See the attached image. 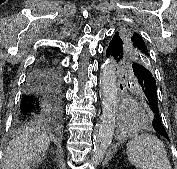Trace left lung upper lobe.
<instances>
[{
	"label": "left lung upper lobe",
	"instance_id": "5c2ea615",
	"mask_svg": "<svg viewBox=\"0 0 177 169\" xmlns=\"http://www.w3.org/2000/svg\"><path fill=\"white\" fill-rule=\"evenodd\" d=\"M111 43L115 44L119 50V64L136 61L146 66L149 70L152 69L146 43L142 36L131 27H124L120 32H116ZM139 91L141 90L139 89Z\"/></svg>",
	"mask_w": 177,
	"mask_h": 169
}]
</instances>
